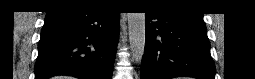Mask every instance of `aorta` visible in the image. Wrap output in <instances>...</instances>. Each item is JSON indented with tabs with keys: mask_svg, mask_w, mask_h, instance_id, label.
<instances>
[{
	"mask_svg": "<svg viewBox=\"0 0 255 79\" xmlns=\"http://www.w3.org/2000/svg\"><path fill=\"white\" fill-rule=\"evenodd\" d=\"M127 18L132 60L140 63L146 42L145 13H128Z\"/></svg>",
	"mask_w": 255,
	"mask_h": 79,
	"instance_id": "aorta-1",
	"label": "aorta"
}]
</instances>
